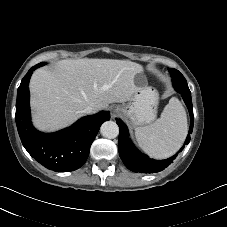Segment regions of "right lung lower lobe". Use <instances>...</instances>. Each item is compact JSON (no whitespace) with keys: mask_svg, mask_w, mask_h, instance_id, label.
Wrapping results in <instances>:
<instances>
[{"mask_svg":"<svg viewBox=\"0 0 227 227\" xmlns=\"http://www.w3.org/2000/svg\"><path fill=\"white\" fill-rule=\"evenodd\" d=\"M35 65L24 76L17 92L16 125L24 148L41 165L56 172L80 168L87 160L90 147L100 126L110 119V113L101 111L79 119L72 126L54 133L36 130L30 117L29 79Z\"/></svg>","mask_w":227,"mask_h":227,"instance_id":"98d812e1","label":"right lung lower lobe"}]
</instances>
